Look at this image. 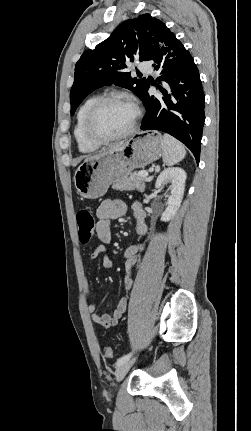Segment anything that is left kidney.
I'll return each mask as SVG.
<instances>
[{
    "instance_id": "1",
    "label": "left kidney",
    "mask_w": 251,
    "mask_h": 431,
    "mask_svg": "<svg viewBox=\"0 0 251 431\" xmlns=\"http://www.w3.org/2000/svg\"><path fill=\"white\" fill-rule=\"evenodd\" d=\"M166 182L171 183V194L168 198V206L161 217V221L164 222L174 218L181 205L185 190L186 172L180 167H169L164 169L159 174L155 187L159 189Z\"/></svg>"
}]
</instances>
